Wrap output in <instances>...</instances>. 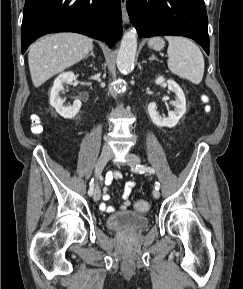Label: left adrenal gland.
Returning <instances> with one entry per match:
<instances>
[{
	"instance_id": "1",
	"label": "left adrenal gland",
	"mask_w": 243,
	"mask_h": 289,
	"mask_svg": "<svg viewBox=\"0 0 243 289\" xmlns=\"http://www.w3.org/2000/svg\"><path fill=\"white\" fill-rule=\"evenodd\" d=\"M149 60H150V61H152V60H157V58L155 57L154 54H152L151 57L149 58Z\"/></svg>"
}]
</instances>
